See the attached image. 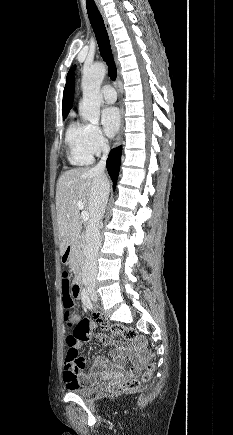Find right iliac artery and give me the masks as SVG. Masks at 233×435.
<instances>
[{
	"instance_id": "82829eb1",
	"label": "right iliac artery",
	"mask_w": 233,
	"mask_h": 435,
	"mask_svg": "<svg viewBox=\"0 0 233 435\" xmlns=\"http://www.w3.org/2000/svg\"><path fill=\"white\" fill-rule=\"evenodd\" d=\"M82 301H83L84 305L88 309H90V310L93 309V303H92V301H91V299L89 297V293H88L87 289H83V292H82Z\"/></svg>"
}]
</instances>
